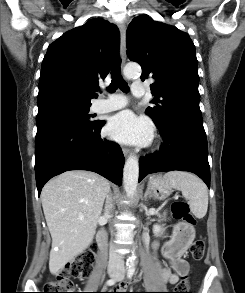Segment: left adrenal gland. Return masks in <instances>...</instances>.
Here are the masks:
<instances>
[{"instance_id": "1", "label": "left adrenal gland", "mask_w": 245, "mask_h": 293, "mask_svg": "<svg viewBox=\"0 0 245 293\" xmlns=\"http://www.w3.org/2000/svg\"><path fill=\"white\" fill-rule=\"evenodd\" d=\"M149 194H150V193H149V190L147 189L146 192H145V194H144V198H145V200H147V197H148ZM149 197H150V196H149Z\"/></svg>"}]
</instances>
